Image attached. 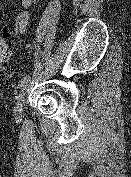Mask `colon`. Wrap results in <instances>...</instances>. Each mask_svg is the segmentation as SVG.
Here are the masks:
<instances>
[{"label": "colon", "instance_id": "5ec220e1", "mask_svg": "<svg viewBox=\"0 0 131 177\" xmlns=\"http://www.w3.org/2000/svg\"><path fill=\"white\" fill-rule=\"evenodd\" d=\"M10 55L9 45L7 41L6 32L3 31L0 36V68H4L7 65Z\"/></svg>", "mask_w": 131, "mask_h": 177}]
</instances>
